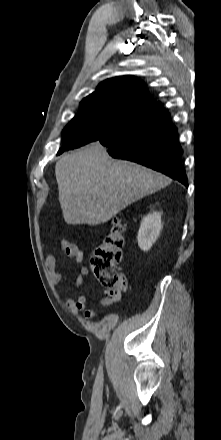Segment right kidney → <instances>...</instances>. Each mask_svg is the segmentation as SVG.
Returning <instances> with one entry per match:
<instances>
[{
  "label": "right kidney",
  "mask_w": 221,
  "mask_h": 440,
  "mask_svg": "<svg viewBox=\"0 0 221 440\" xmlns=\"http://www.w3.org/2000/svg\"><path fill=\"white\" fill-rule=\"evenodd\" d=\"M161 229V213L153 212L144 217L137 236L140 249L143 251L150 250L159 237Z\"/></svg>",
  "instance_id": "ca27d5eb"
}]
</instances>
